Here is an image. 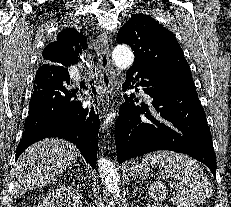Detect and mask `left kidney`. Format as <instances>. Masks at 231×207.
Wrapping results in <instances>:
<instances>
[{"instance_id": "left-kidney-1", "label": "left kidney", "mask_w": 231, "mask_h": 207, "mask_svg": "<svg viewBox=\"0 0 231 207\" xmlns=\"http://www.w3.org/2000/svg\"><path fill=\"white\" fill-rule=\"evenodd\" d=\"M151 207H165V206H163L162 204L158 202H154Z\"/></svg>"}]
</instances>
